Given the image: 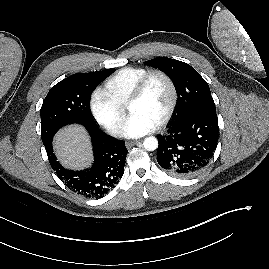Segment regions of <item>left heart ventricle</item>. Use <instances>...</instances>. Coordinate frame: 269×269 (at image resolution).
I'll return each mask as SVG.
<instances>
[{
    "instance_id": "b2bd125f",
    "label": "left heart ventricle",
    "mask_w": 269,
    "mask_h": 269,
    "mask_svg": "<svg viewBox=\"0 0 269 269\" xmlns=\"http://www.w3.org/2000/svg\"><path fill=\"white\" fill-rule=\"evenodd\" d=\"M170 96L167 82L156 76L150 81L142 98L129 106V111L131 114H141L157 124L168 108Z\"/></svg>"
}]
</instances>
